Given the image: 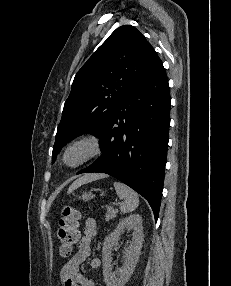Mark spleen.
Returning <instances> with one entry per match:
<instances>
[{"instance_id": "obj_1", "label": "spleen", "mask_w": 231, "mask_h": 286, "mask_svg": "<svg viewBox=\"0 0 231 286\" xmlns=\"http://www.w3.org/2000/svg\"><path fill=\"white\" fill-rule=\"evenodd\" d=\"M114 188L116 190L117 196L123 200L120 205V210L122 213H130L134 211L139 205L138 194L121 182H114Z\"/></svg>"}]
</instances>
